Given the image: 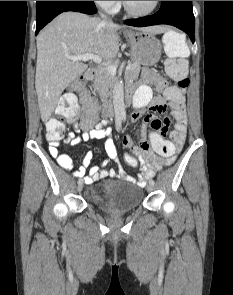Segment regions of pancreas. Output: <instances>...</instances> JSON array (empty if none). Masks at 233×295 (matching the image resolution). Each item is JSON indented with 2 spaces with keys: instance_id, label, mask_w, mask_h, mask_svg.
Instances as JSON below:
<instances>
[{
  "instance_id": "1",
  "label": "pancreas",
  "mask_w": 233,
  "mask_h": 295,
  "mask_svg": "<svg viewBox=\"0 0 233 295\" xmlns=\"http://www.w3.org/2000/svg\"><path fill=\"white\" fill-rule=\"evenodd\" d=\"M112 64L118 66V61H114ZM128 64L131 65V68L126 71V74L137 77L141 69L140 62L132 58ZM116 82L117 78L115 75L109 73L105 67H99L93 80V89L102 99H106L111 95V90Z\"/></svg>"
}]
</instances>
